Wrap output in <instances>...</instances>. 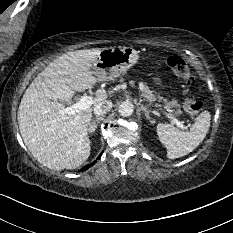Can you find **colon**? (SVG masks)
Returning <instances> with one entry per match:
<instances>
[{"label":"colon","instance_id":"5ec220e1","mask_svg":"<svg viewBox=\"0 0 233 233\" xmlns=\"http://www.w3.org/2000/svg\"><path fill=\"white\" fill-rule=\"evenodd\" d=\"M167 64L174 74L184 82L190 83L192 81L189 66L183 57L179 55H171L167 59ZM183 107L187 113L196 115L202 110L203 103L199 100L187 97L183 101Z\"/></svg>","mask_w":233,"mask_h":233}]
</instances>
